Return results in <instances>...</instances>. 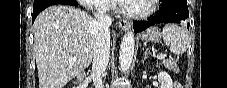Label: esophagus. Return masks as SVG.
I'll return each mask as SVG.
<instances>
[{"label":"esophagus","mask_w":227,"mask_h":88,"mask_svg":"<svg viewBox=\"0 0 227 88\" xmlns=\"http://www.w3.org/2000/svg\"><path fill=\"white\" fill-rule=\"evenodd\" d=\"M119 27L123 30H127L130 27V24L127 20H119Z\"/></svg>","instance_id":"obj_1"}]
</instances>
